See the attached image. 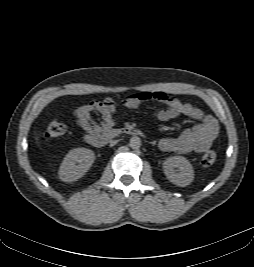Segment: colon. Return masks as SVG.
<instances>
[{
    "label": "colon",
    "instance_id": "colon-1",
    "mask_svg": "<svg viewBox=\"0 0 254 267\" xmlns=\"http://www.w3.org/2000/svg\"><path fill=\"white\" fill-rule=\"evenodd\" d=\"M67 125L61 121L53 120L49 123L45 130V137L49 140L57 139L67 132ZM217 156L213 151H208L202 157L204 166H211L216 162Z\"/></svg>",
    "mask_w": 254,
    "mask_h": 267
}]
</instances>
